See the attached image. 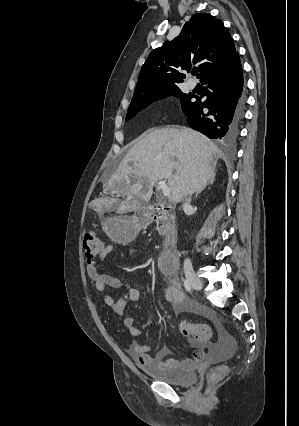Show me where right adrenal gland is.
<instances>
[{
  "label": "right adrenal gland",
  "mask_w": 299,
  "mask_h": 426,
  "mask_svg": "<svg viewBox=\"0 0 299 426\" xmlns=\"http://www.w3.org/2000/svg\"><path fill=\"white\" fill-rule=\"evenodd\" d=\"M214 180H215V176H213L210 180H209V182H208V184H210V185H212L213 184V182H214ZM204 190V188H201V189H199L197 192H196V194H195V198H197V196L202 192Z\"/></svg>",
  "instance_id": "obj_1"
}]
</instances>
